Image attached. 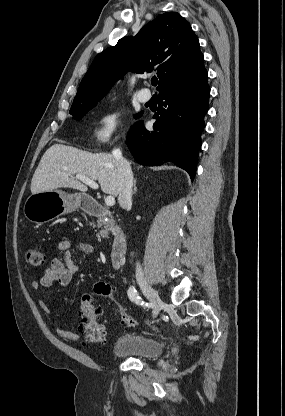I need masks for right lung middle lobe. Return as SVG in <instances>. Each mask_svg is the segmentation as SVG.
<instances>
[{
  "mask_svg": "<svg viewBox=\"0 0 285 416\" xmlns=\"http://www.w3.org/2000/svg\"><path fill=\"white\" fill-rule=\"evenodd\" d=\"M96 105V102H93L85 107L71 109L70 114L74 116V119L80 120L90 109H92ZM143 112H140L138 115H135V118L140 117Z\"/></svg>",
  "mask_w": 285,
  "mask_h": 416,
  "instance_id": "1",
  "label": "right lung middle lobe"
}]
</instances>
